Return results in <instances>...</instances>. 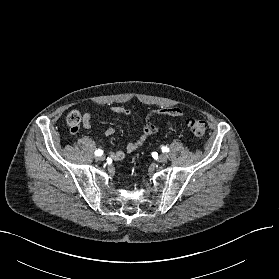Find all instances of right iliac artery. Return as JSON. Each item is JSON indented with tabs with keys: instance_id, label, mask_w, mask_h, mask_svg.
<instances>
[{
	"instance_id": "82829eb1",
	"label": "right iliac artery",
	"mask_w": 279,
	"mask_h": 279,
	"mask_svg": "<svg viewBox=\"0 0 279 279\" xmlns=\"http://www.w3.org/2000/svg\"><path fill=\"white\" fill-rule=\"evenodd\" d=\"M102 154H103V150H101V149H98L95 151L96 156H101Z\"/></svg>"
}]
</instances>
